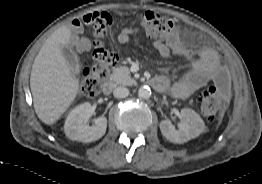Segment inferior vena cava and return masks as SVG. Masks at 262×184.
I'll list each match as a JSON object with an SVG mask.
<instances>
[{
  "instance_id": "inferior-vena-cava-1",
  "label": "inferior vena cava",
  "mask_w": 262,
  "mask_h": 184,
  "mask_svg": "<svg viewBox=\"0 0 262 184\" xmlns=\"http://www.w3.org/2000/svg\"><path fill=\"white\" fill-rule=\"evenodd\" d=\"M113 95L116 98H125L129 95V90L126 87H117L114 89Z\"/></svg>"
}]
</instances>
